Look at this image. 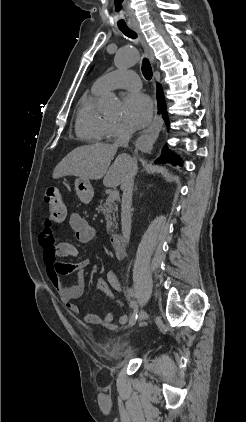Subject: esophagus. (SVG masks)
<instances>
[{
	"label": "esophagus",
	"mask_w": 246,
	"mask_h": 422,
	"mask_svg": "<svg viewBox=\"0 0 246 422\" xmlns=\"http://www.w3.org/2000/svg\"><path fill=\"white\" fill-rule=\"evenodd\" d=\"M132 29L138 34L139 41L145 51V54L151 61V63L154 62L153 52L151 48L149 47L139 24L132 25ZM162 127V119L157 114V110L155 113V116L153 117V120L148 127V129L137 139L136 141V147L141 150L142 152H147L151 150L152 145L154 144L155 140L157 139L159 132Z\"/></svg>",
	"instance_id": "34e87169"
}]
</instances>
